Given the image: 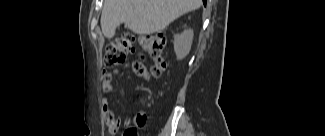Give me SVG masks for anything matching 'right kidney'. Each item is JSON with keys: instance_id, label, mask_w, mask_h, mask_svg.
Segmentation results:
<instances>
[{"instance_id": "obj_1", "label": "right kidney", "mask_w": 325, "mask_h": 136, "mask_svg": "<svg viewBox=\"0 0 325 136\" xmlns=\"http://www.w3.org/2000/svg\"><path fill=\"white\" fill-rule=\"evenodd\" d=\"M193 36L194 33L192 29L185 30L181 34L174 35V51L178 60L185 58L189 54Z\"/></svg>"}]
</instances>
